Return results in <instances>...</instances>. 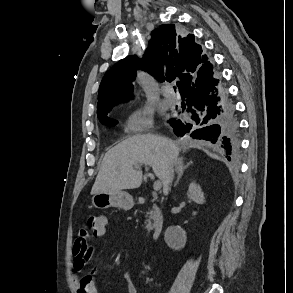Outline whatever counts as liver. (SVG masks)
Returning a JSON list of instances; mask_svg holds the SVG:
<instances>
[{
  "label": "liver",
  "mask_w": 293,
  "mask_h": 293,
  "mask_svg": "<svg viewBox=\"0 0 293 293\" xmlns=\"http://www.w3.org/2000/svg\"><path fill=\"white\" fill-rule=\"evenodd\" d=\"M179 147L167 138L144 134L127 138L104 156L91 194H114L138 188L142 183V165L152 167L164 185L171 166L181 161Z\"/></svg>",
  "instance_id": "1"
}]
</instances>
